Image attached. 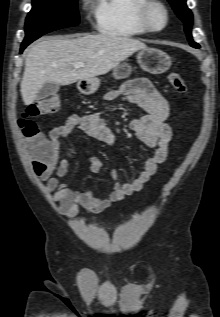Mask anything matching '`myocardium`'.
<instances>
[{"label": "myocardium", "mask_w": 220, "mask_h": 317, "mask_svg": "<svg viewBox=\"0 0 220 317\" xmlns=\"http://www.w3.org/2000/svg\"><path fill=\"white\" fill-rule=\"evenodd\" d=\"M159 9L164 16V24L161 27L154 25L152 20V11ZM138 17L141 24L151 32H160L164 30L170 19V13L164 2L161 0H145V2L138 9Z\"/></svg>", "instance_id": "1"}]
</instances>
